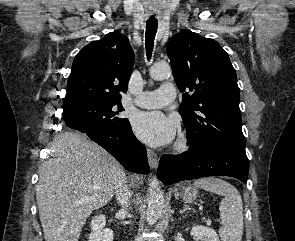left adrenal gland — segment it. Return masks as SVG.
Returning <instances> with one entry per match:
<instances>
[{"label":"left adrenal gland","mask_w":295,"mask_h":241,"mask_svg":"<svg viewBox=\"0 0 295 241\" xmlns=\"http://www.w3.org/2000/svg\"><path fill=\"white\" fill-rule=\"evenodd\" d=\"M187 210H191V208L189 207V205L185 204L184 208L182 210H180V213H184Z\"/></svg>","instance_id":"obj_1"}]
</instances>
